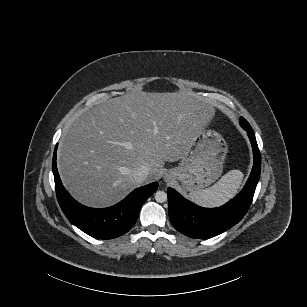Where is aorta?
<instances>
[{
    "mask_svg": "<svg viewBox=\"0 0 307 307\" xmlns=\"http://www.w3.org/2000/svg\"><path fill=\"white\" fill-rule=\"evenodd\" d=\"M155 200L158 203H163L167 200V194L164 191H157L155 194Z\"/></svg>",
    "mask_w": 307,
    "mask_h": 307,
    "instance_id": "obj_1",
    "label": "aorta"
}]
</instances>
